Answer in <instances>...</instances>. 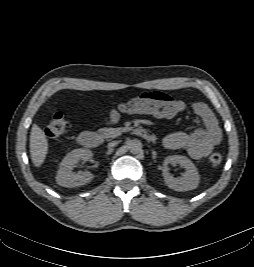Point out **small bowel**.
Segmentation results:
<instances>
[{"mask_svg": "<svg viewBox=\"0 0 254 267\" xmlns=\"http://www.w3.org/2000/svg\"><path fill=\"white\" fill-rule=\"evenodd\" d=\"M193 113L201 120L202 126L195 131L175 132L162 140L165 149L186 150L193 159L208 156L222 137L217 120L210 108L203 102L190 105ZM188 109L187 103L162 92H146L127 102L116 105L110 112L107 122L115 124L122 113L152 115L158 119H173Z\"/></svg>", "mask_w": 254, "mask_h": 267, "instance_id": "c3829d8e", "label": "small bowel"}]
</instances>
